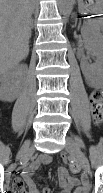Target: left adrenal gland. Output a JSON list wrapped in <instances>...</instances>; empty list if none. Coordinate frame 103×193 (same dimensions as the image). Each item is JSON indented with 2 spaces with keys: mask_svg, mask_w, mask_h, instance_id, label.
I'll return each mask as SVG.
<instances>
[{
  "mask_svg": "<svg viewBox=\"0 0 103 193\" xmlns=\"http://www.w3.org/2000/svg\"><path fill=\"white\" fill-rule=\"evenodd\" d=\"M76 25H77V19L75 20V25H74V27H76Z\"/></svg>",
  "mask_w": 103,
  "mask_h": 193,
  "instance_id": "a2214340",
  "label": "left adrenal gland"
}]
</instances>
